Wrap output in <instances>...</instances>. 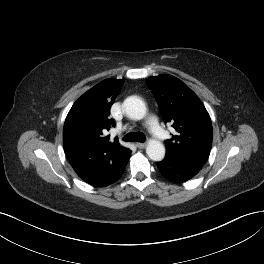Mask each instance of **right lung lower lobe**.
Wrapping results in <instances>:
<instances>
[{"label": "right lung lower lobe", "mask_w": 264, "mask_h": 264, "mask_svg": "<svg viewBox=\"0 0 264 264\" xmlns=\"http://www.w3.org/2000/svg\"><path fill=\"white\" fill-rule=\"evenodd\" d=\"M131 152L117 160L99 158L72 162L71 165L82 180L96 187H105L117 181L123 174Z\"/></svg>", "instance_id": "obj_1"}]
</instances>
